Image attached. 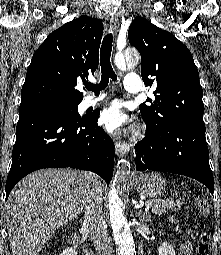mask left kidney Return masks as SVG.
<instances>
[{"label": "left kidney", "instance_id": "obj_1", "mask_svg": "<svg viewBox=\"0 0 221 255\" xmlns=\"http://www.w3.org/2000/svg\"><path fill=\"white\" fill-rule=\"evenodd\" d=\"M159 255H176L174 248L168 242H163L158 248Z\"/></svg>", "mask_w": 221, "mask_h": 255}]
</instances>
